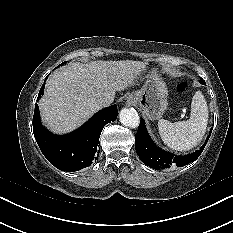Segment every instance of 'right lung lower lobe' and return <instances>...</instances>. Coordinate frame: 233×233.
<instances>
[{"mask_svg": "<svg viewBox=\"0 0 233 233\" xmlns=\"http://www.w3.org/2000/svg\"><path fill=\"white\" fill-rule=\"evenodd\" d=\"M42 85L38 98L44 90ZM118 115L116 105L97 112L88 122L74 132L56 136L46 130L40 122L38 105L33 116V133L46 159L57 169L72 172L88 167L98 157L99 137L104 126L115 121Z\"/></svg>", "mask_w": 233, "mask_h": 233, "instance_id": "right-lung-lower-lobe-1", "label": "right lung lower lobe"}]
</instances>
